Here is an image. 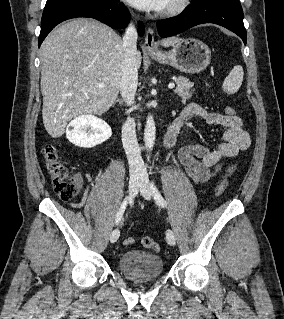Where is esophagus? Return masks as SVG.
I'll list each match as a JSON object with an SVG mask.
<instances>
[{"mask_svg": "<svg viewBox=\"0 0 284 319\" xmlns=\"http://www.w3.org/2000/svg\"><path fill=\"white\" fill-rule=\"evenodd\" d=\"M144 50L148 52H156L158 50L154 41V31L152 28H148L145 37Z\"/></svg>", "mask_w": 284, "mask_h": 319, "instance_id": "obj_1", "label": "esophagus"}]
</instances>
